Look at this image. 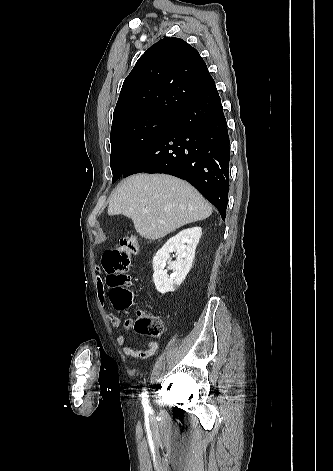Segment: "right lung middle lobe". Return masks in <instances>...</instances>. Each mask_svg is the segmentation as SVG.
<instances>
[{"mask_svg":"<svg viewBox=\"0 0 333 471\" xmlns=\"http://www.w3.org/2000/svg\"><path fill=\"white\" fill-rule=\"evenodd\" d=\"M175 114L141 112L112 123L110 166L116 182L136 157L171 123Z\"/></svg>","mask_w":333,"mask_h":471,"instance_id":"right-lung-middle-lobe-1","label":"right lung middle lobe"}]
</instances>
